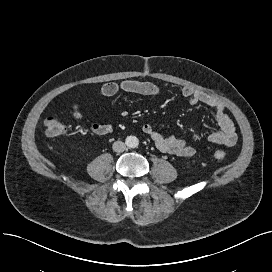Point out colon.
Wrapping results in <instances>:
<instances>
[{"mask_svg": "<svg viewBox=\"0 0 272 272\" xmlns=\"http://www.w3.org/2000/svg\"><path fill=\"white\" fill-rule=\"evenodd\" d=\"M46 134L49 137H58L66 132V125L57 117L50 116L45 119ZM213 156L216 160L222 161L226 158V153L222 150H215Z\"/></svg>", "mask_w": 272, "mask_h": 272, "instance_id": "obj_1", "label": "colon"}]
</instances>
